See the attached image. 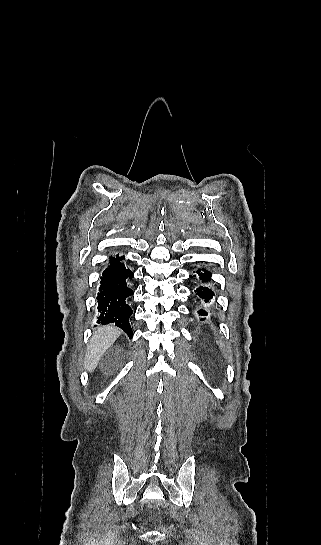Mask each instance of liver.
<instances>
[{
    "label": "liver",
    "mask_w": 321,
    "mask_h": 545,
    "mask_svg": "<svg viewBox=\"0 0 321 545\" xmlns=\"http://www.w3.org/2000/svg\"><path fill=\"white\" fill-rule=\"evenodd\" d=\"M121 331L113 329V327H98L89 343V347L86 351L84 359V369H87L89 373H93L96 369L102 355L106 353L107 349L115 343L116 339L120 337Z\"/></svg>",
    "instance_id": "1"
}]
</instances>
